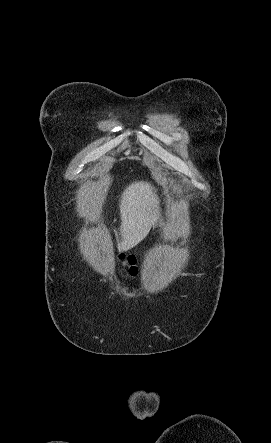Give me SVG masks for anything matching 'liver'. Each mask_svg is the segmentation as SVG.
<instances>
[{
    "label": "liver",
    "instance_id": "6515ba94",
    "mask_svg": "<svg viewBox=\"0 0 271 443\" xmlns=\"http://www.w3.org/2000/svg\"><path fill=\"white\" fill-rule=\"evenodd\" d=\"M159 200L148 182H133L124 190L120 200L121 225L117 239L118 251H127L146 237L156 222Z\"/></svg>",
    "mask_w": 271,
    "mask_h": 443
}]
</instances>
